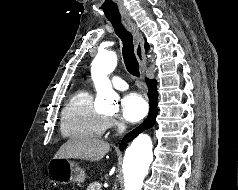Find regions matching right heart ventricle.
<instances>
[{
  "instance_id": "1",
  "label": "right heart ventricle",
  "mask_w": 238,
  "mask_h": 190,
  "mask_svg": "<svg viewBox=\"0 0 238 190\" xmlns=\"http://www.w3.org/2000/svg\"><path fill=\"white\" fill-rule=\"evenodd\" d=\"M60 126L67 137L97 138L108 128V119L94 109L89 91L78 90L63 109Z\"/></svg>"
}]
</instances>
